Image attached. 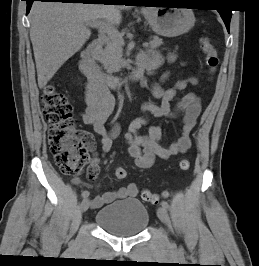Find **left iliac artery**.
<instances>
[{
  "label": "left iliac artery",
  "instance_id": "44dca946",
  "mask_svg": "<svg viewBox=\"0 0 259 266\" xmlns=\"http://www.w3.org/2000/svg\"><path fill=\"white\" fill-rule=\"evenodd\" d=\"M161 206L164 207L165 209H169L170 208L168 202H166V201H162L161 202Z\"/></svg>",
  "mask_w": 259,
  "mask_h": 266
}]
</instances>
